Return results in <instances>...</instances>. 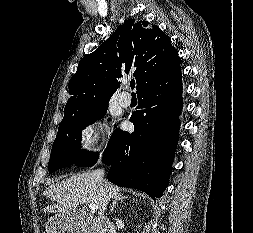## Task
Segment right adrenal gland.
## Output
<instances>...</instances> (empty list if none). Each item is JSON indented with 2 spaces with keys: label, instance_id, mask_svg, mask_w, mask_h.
I'll use <instances>...</instances> for the list:
<instances>
[{
  "label": "right adrenal gland",
  "instance_id": "obj_1",
  "mask_svg": "<svg viewBox=\"0 0 253 233\" xmlns=\"http://www.w3.org/2000/svg\"><path fill=\"white\" fill-rule=\"evenodd\" d=\"M127 196H118L115 198L114 202L112 203V206L110 208V212L114 211V208L116 207V204H118V202H122L123 200L127 199Z\"/></svg>",
  "mask_w": 253,
  "mask_h": 233
}]
</instances>
